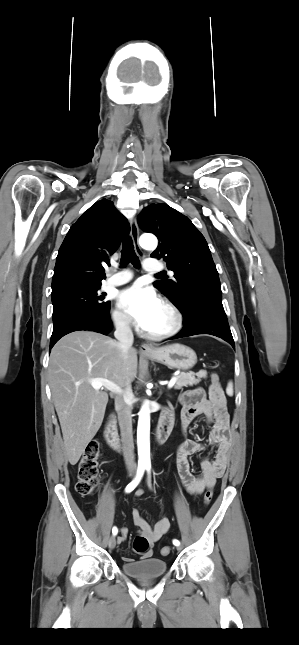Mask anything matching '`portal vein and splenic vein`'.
Listing matches in <instances>:
<instances>
[{
    "label": "portal vein and splenic vein",
    "mask_w": 299,
    "mask_h": 645,
    "mask_svg": "<svg viewBox=\"0 0 299 645\" xmlns=\"http://www.w3.org/2000/svg\"><path fill=\"white\" fill-rule=\"evenodd\" d=\"M176 381H177V377H173L168 383V388H172L176 383ZM90 384L94 389H100L104 387L107 390L111 391L112 393H115V394L122 393V390L120 387H118L116 384H114L113 382L107 379H103V378L92 379L90 380Z\"/></svg>",
    "instance_id": "18ae733b"
}]
</instances>
